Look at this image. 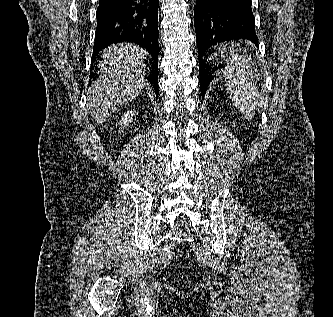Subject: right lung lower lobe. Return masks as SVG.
<instances>
[{"mask_svg": "<svg viewBox=\"0 0 333 317\" xmlns=\"http://www.w3.org/2000/svg\"><path fill=\"white\" fill-rule=\"evenodd\" d=\"M158 6L159 0H99L93 50L94 57L117 42H133L145 48L152 56L149 60L151 70L146 79L153 85L157 96Z\"/></svg>", "mask_w": 333, "mask_h": 317, "instance_id": "obj_1", "label": "right lung lower lobe"}]
</instances>
